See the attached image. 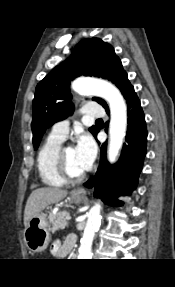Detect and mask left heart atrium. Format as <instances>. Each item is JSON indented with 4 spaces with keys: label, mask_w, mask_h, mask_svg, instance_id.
I'll return each instance as SVG.
<instances>
[{
    "label": "left heart atrium",
    "mask_w": 175,
    "mask_h": 287,
    "mask_svg": "<svg viewBox=\"0 0 175 287\" xmlns=\"http://www.w3.org/2000/svg\"><path fill=\"white\" fill-rule=\"evenodd\" d=\"M75 152L84 170H88L97 154V147L91 136L81 134L75 146Z\"/></svg>",
    "instance_id": "1"
}]
</instances>
